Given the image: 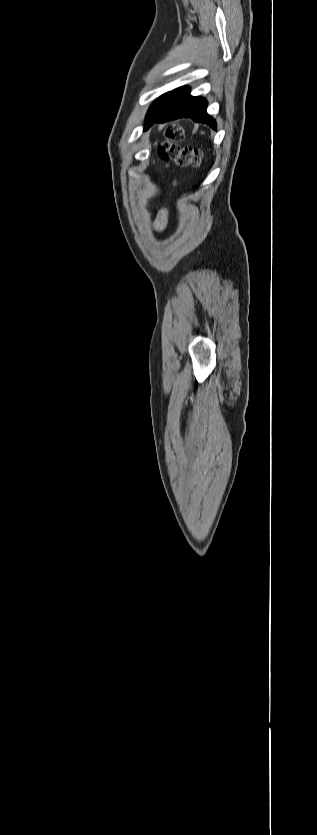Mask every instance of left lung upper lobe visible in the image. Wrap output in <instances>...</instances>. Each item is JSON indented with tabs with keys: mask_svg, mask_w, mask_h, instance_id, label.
<instances>
[{
	"mask_svg": "<svg viewBox=\"0 0 317 835\" xmlns=\"http://www.w3.org/2000/svg\"><path fill=\"white\" fill-rule=\"evenodd\" d=\"M170 94H171V92L163 94L151 105V107L149 108V110L147 112L146 120L153 117L162 108V106L168 100Z\"/></svg>",
	"mask_w": 317,
	"mask_h": 835,
	"instance_id": "1",
	"label": "left lung upper lobe"
}]
</instances>
